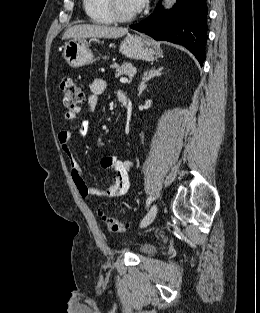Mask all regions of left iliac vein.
<instances>
[{
  "label": "left iliac vein",
  "instance_id": "obj_1",
  "mask_svg": "<svg viewBox=\"0 0 260 313\" xmlns=\"http://www.w3.org/2000/svg\"><path fill=\"white\" fill-rule=\"evenodd\" d=\"M157 211H158L157 205L153 204L151 208L149 209V211L147 212L146 216L141 221L140 226L146 227L149 224H151L157 215Z\"/></svg>",
  "mask_w": 260,
  "mask_h": 313
}]
</instances>
